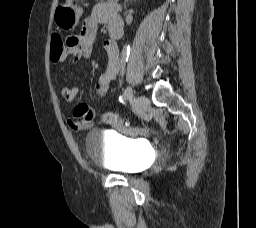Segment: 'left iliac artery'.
<instances>
[{
  "label": "left iliac artery",
  "instance_id": "1",
  "mask_svg": "<svg viewBox=\"0 0 256 228\" xmlns=\"http://www.w3.org/2000/svg\"><path fill=\"white\" fill-rule=\"evenodd\" d=\"M121 101L123 102L125 99H132L133 98V90L130 86H128L125 90L124 93L121 96Z\"/></svg>",
  "mask_w": 256,
  "mask_h": 228
}]
</instances>
